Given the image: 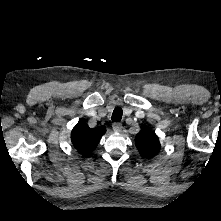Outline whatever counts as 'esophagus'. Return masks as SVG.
Here are the masks:
<instances>
[{"label": "esophagus", "mask_w": 221, "mask_h": 221, "mask_svg": "<svg viewBox=\"0 0 221 221\" xmlns=\"http://www.w3.org/2000/svg\"><path fill=\"white\" fill-rule=\"evenodd\" d=\"M114 132L120 133L122 131V124L120 123H113L112 125Z\"/></svg>", "instance_id": "34e87169"}]
</instances>
